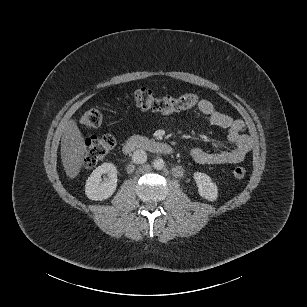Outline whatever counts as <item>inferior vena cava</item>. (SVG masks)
<instances>
[{
  "mask_svg": "<svg viewBox=\"0 0 307 307\" xmlns=\"http://www.w3.org/2000/svg\"><path fill=\"white\" fill-rule=\"evenodd\" d=\"M132 161L136 164H143L147 161V153L144 150L138 149L132 155Z\"/></svg>",
  "mask_w": 307,
  "mask_h": 307,
  "instance_id": "1",
  "label": "inferior vena cava"
}]
</instances>
